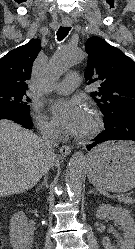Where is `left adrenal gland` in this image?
Wrapping results in <instances>:
<instances>
[{
	"instance_id": "left-adrenal-gland-1",
	"label": "left adrenal gland",
	"mask_w": 135,
	"mask_h": 249,
	"mask_svg": "<svg viewBox=\"0 0 135 249\" xmlns=\"http://www.w3.org/2000/svg\"><path fill=\"white\" fill-rule=\"evenodd\" d=\"M92 193L97 194V192H95L94 189H92V190L89 191V194H92Z\"/></svg>"
}]
</instances>
